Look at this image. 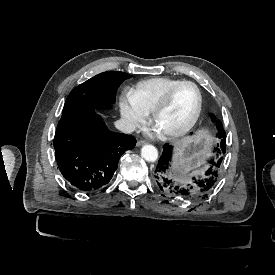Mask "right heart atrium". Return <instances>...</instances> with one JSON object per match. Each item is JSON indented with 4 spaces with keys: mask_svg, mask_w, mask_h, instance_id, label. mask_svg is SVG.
Wrapping results in <instances>:
<instances>
[{
    "mask_svg": "<svg viewBox=\"0 0 275 275\" xmlns=\"http://www.w3.org/2000/svg\"><path fill=\"white\" fill-rule=\"evenodd\" d=\"M120 112L130 130L139 128L149 116V112L137 101L133 91H126L121 96Z\"/></svg>",
    "mask_w": 275,
    "mask_h": 275,
    "instance_id": "d8ad5b80",
    "label": "right heart atrium"
}]
</instances>
